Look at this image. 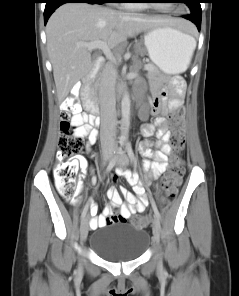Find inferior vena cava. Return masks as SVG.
I'll use <instances>...</instances> for the list:
<instances>
[{
  "instance_id": "inferior-vena-cava-1",
  "label": "inferior vena cava",
  "mask_w": 239,
  "mask_h": 296,
  "mask_svg": "<svg viewBox=\"0 0 239 296\" xmlns=\"http://www.w3.org/2000/svg\"><path fill=\"white\" fill-rule=\"evenodd\" d=\"M117 72L112 64L106 63L102 68L99 81V105L101 112V143L115 147L116 115V85Z\"/></svg>"
}]
</instances>
